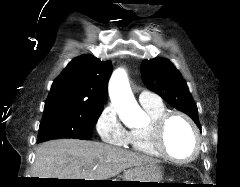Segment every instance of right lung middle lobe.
Wrapping results in <instances>:
<instances>
[{"label":"right lung middle lobe","instance_id":"dd1d6c3e","mask_svg":"<svg viewBox=\"0 0 240 187\" xmlns=\"http://www.w3.org/2000/svg\"><path fill=\"white\" fill-rule=\"evenodd\" d=\"M103 106L61 104L44 108L38 131V142L75 138L88 140Z\"/></svg>","mask_w":240,"mask_h":187}]
</instances>
